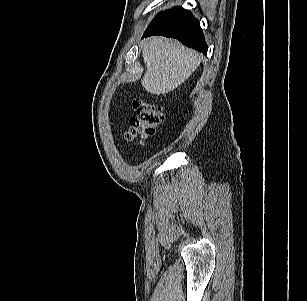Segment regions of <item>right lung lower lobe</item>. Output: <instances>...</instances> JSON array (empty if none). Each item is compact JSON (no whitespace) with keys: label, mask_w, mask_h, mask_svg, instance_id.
Masks as SVG:
<instances>
[{"label":"right lung lower lobe","mask_w":307,"mask_h":301,"mask_svg":"<svg viewBox=\"0 0 307 301\" xmlns=\"http://www.w3.org/2000/svg\"><path fill=\"white\" fill-rule=\"evenodd\" d=\"M153 35L176 38L189 47L207 53V45L198 20L189 10L182 7H175L158 14L142 38Z\"/></svg>","instance_id":"1"}]
</instances>
